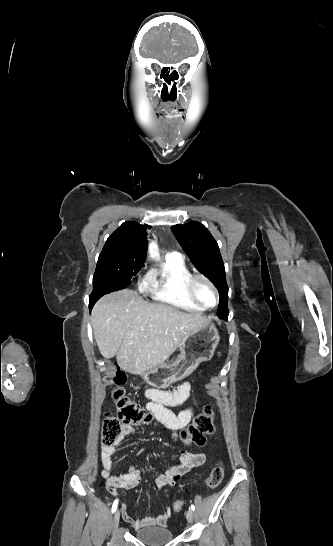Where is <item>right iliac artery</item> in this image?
<instances>
[{
  "label": "right iliac artery",
  "mask_w": 333,
  "mask_h": 546,
  "mask_svg": "<svg viewBox=\"0 0 333 546\" xmlns=\"http://www.w3.org/2000/svg\"><path fill=\"white\" fill-rule=\"evenodd\" d=\"M117 506H118V500H115L113 505H112V512L114 513L117 509Z\"/></svg>",
  "instance_id": "82829eb1"
}]
</instances>
